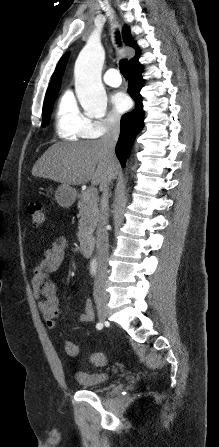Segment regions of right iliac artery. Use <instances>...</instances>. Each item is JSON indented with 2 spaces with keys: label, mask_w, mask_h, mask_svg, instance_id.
Returning <instances> with one entry per match:
<instances>
[{
  "label": "right iliac artery",
  "mask_w": 219,
  "mask_h": 447,
  "mask_svg": "<svg viewBox=\"0 0 219 447\" xmlns=\"http://www.w3.org/2000/svg\"><path fill=\"white\" fill-rule=\"evenodd\" d=\"M102 326H103V325H102L101 323H97L96 328H97V329H101Z\"/></svg>",
  "instance_id": "right-iliac-artery-1"
}]
</instances>
